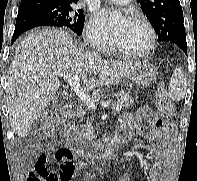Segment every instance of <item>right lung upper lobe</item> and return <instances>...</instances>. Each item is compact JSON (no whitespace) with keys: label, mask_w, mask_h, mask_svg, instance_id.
I'll list each match as a JSON object with an SVG mask.
<instances>
[{"label":"right lung upper lobe","mask_w":197,"mask_h":181,"mask_svg":"<svg viewBox=\"0 0 197 181\" xmlns=\"http://www.w3.org/2000/svg\"><path fill=\"white\" fill-rule=\"evenodd\" d=\"M78 0H22L20 8H31L37 4H51L59 6H73Z\"/></svg>","instance_id":"cb5924a9"}]
</instances>
